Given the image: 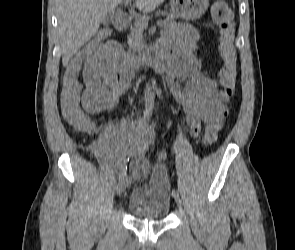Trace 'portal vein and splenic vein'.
<instances>
[{
	"label": "portal vein and splenic vein",
	"mask_w": 295,
	"mask_h": 250,
	"mask_svg": "<svg viewBox=\"0 0 295 250\" xmlns=\"http://www.w3.org/2000/svg\"><path fill=\"white\" fill-rule=\"evenodd\" d=\"M131 1L132 0H125V3L129 4V3H131ZM140 24H141V26H143L145 28H147V26H148L147 21H144L143 19L140 21ZM156 24H157V26H163L165 24V22L164 21H157Z\"/></svg>",
	"instance_id": "18ae733b"
}]
</instances>
